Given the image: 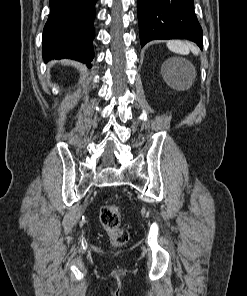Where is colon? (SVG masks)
<instances>
[{"instance_id":"1","label":"colon","mask_w":247,"mask_h":296,"mask_svg":"<svg viewBox=\"0 0 247 296\" xmlns=\"http://www.w3.org/2000/svg\"><path fill=\"white\" fill-rule=\"evenodd\" d=\"M99 219L115 246L120 247L128 242L129 233L125 228L121 227L120 213L115 205L106 204L102 206Z\"/></svg>"}]
</instances>
